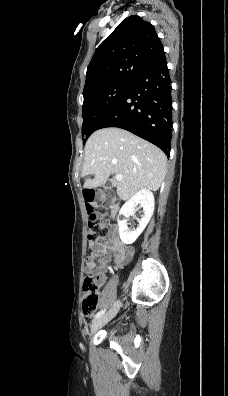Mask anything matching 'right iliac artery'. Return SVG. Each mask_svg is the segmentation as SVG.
I'll return each instance as SVG.
<instances>
[{"instance_id": "1", "label": "right iliac artery", "mask_w": 228, "mask_h": 396, "mask_svg": "<svg viewBox=\"0 0 228 396\" xmlns=\"http://www.w3.org/2000/svg\"><path fill=\"white\" fill-rule=\"evenodd\" d=\"M106 309L99 311L96 315H95V319L99 318L100 316H102L105 313Z\"/></svg>"}]
</instances>
